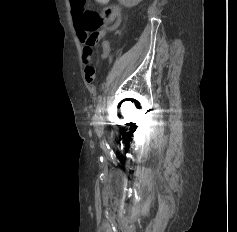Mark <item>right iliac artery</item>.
<instances>
[{
  "label": "right iliac artery",
  "instance_id": "82829eb1",
  "mask_svg": "<svg viewBox=\"0 0 237 232\" xmlns=\"http://www.w3.org/2000/svg\"><path fill=\"white\" fill-rule=\"evenodd\" d=\"M112 61V56H109V62L111 63ZM101 104H102V96L99 97L97 109H96V114H95V119L100 120L101 119Z\"/></svg>",
  "mask_w": 237,
  "mask_h": 232
}]
</instances>
